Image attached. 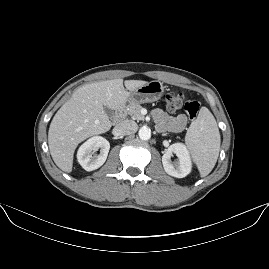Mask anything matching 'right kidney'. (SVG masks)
I'll return each mask as SVG.
<instances>
[{
	"label": "right kidney",
	"instance_id": "ca27d5eb",
	"mask_svg": "<svg viewBox=\"0 0 269 269\" xmlns=\"http://www.w3.org/2000/svg\"><path fill=\"white\" fill-rule=\"evenodd\" d=\"M94 149H100L99 154L91 155ZM110 149L109 142L102 136L95 135L83 142L76 153L77 161L86 171L100 167L107 159Z\"/></svg>",
	"mask_w": 269,
	"mask_h": 269
}]
</instances>
